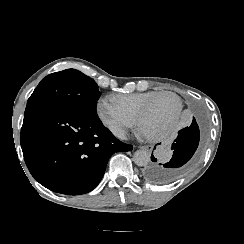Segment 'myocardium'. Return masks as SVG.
<instances>
[{
  "mask_svg": "<svg viewBox=\"0 0 244 244\" xmlns=\"http://www.w3.org/2000/svg\"><path fill=\"white\" fill-rule=\"evenodd\" d=\"M165 95L173 96V97H175L178 100V107H177L176 111L174 113H172L171 116L165 122L160 121L158 127H154V128L148 127L146 125L145 120H144V117H145L144 114H145L146 110L148 108H150L154 102L158 101L160 98H162ZM182 105H183L182 98L178 94H176L175 92L167 91V92L157 93L156 97L153 98L148 104H146L141 109V111L139 113V116L137 117V124L141 125L142 128H144V129H153V130L158 131L160 128H163L164 126L169 125V124L174 122V120L176 119L177 115L180 113V111L182 109Z\"/></svg>",
  "mask_w": 244,
  "mask_h": 244,
  "instance_id": "myocardium-1",
  "label": "myocardium"
}]
</instances>
